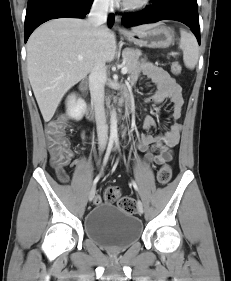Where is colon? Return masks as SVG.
<instances>
[{
  "label": "colon",
  "instance_id": "5ec220e1",
  "mask_svg": "<svg viewBox=\"0 0 231 281\" xmlns=\"http://www.w3.org/2000/svg\"><path fill=\"white\" fill-rule=\"evenodd\" d=\"M171 71L174 75H179L181 73V65L178 62L172 63ZM46 134L52 166L56 168L68 165L71 160V152L66 137L65 117H58L51 121L46 127ZM171 177L172 168L170 165L165 164L159 168L157 180L160 184H167L171 180ZM103 198L107 203L116 202L123 211L129 214H134L136 212L135 201L129 197H121V190L118 187L111 186L106 188ZM99 203H101V199L98 197L95 199V204Z\"/></svg>",
  "mask_w": 231,
  "mask_h": 281
}]
</instances>
